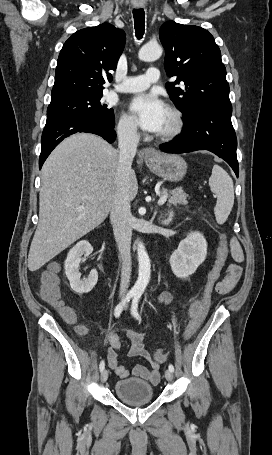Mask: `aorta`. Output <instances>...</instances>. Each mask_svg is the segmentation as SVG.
Here are the masks:
<instances>
[{
	"label": "aorta",
	"instance_id": "762f6f07",
	"mask_svg": "<svg viewBox=\"0 0 272 455\" xmlns=\"http://www.w3.org/2000/svg\"><path fill=\"white\" fill-rule=\"evenodd\" d=\"M162 47L158 43H148L139 51V59L142 61H154L161 57ZM138 255V278L133 286V291L142 294L150 280V259L144 245L139 242L137 247Z\"/></svg>",
	"mask_w": 272,
	"mask_h": 455
}]
</instances>
